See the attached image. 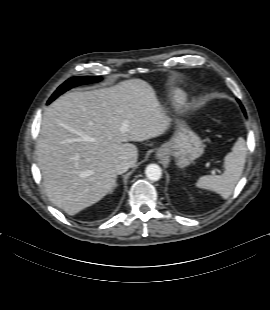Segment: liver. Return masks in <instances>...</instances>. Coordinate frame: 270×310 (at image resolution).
Wrapping results in <instances>:
<instances>
[{
  "label": "liver",
  "instance_id": "6515ba94",
  "mask_svg": "<svg viewBox=\"0 0 270 310\" xmlns=\"http://www.w3.org/2000/svg\"><path fill=\"white\" fill-rule=\"evenodd\" d=\"M170 125L141 79L60 96L44 113L36 146L46 195L69 215L97 203L116 186L117 160L135 166L138 149L129 142L160 136Z\"/></svg>",
  "mask_w": 270,
  "mask_h": 310
}]
</instances>
